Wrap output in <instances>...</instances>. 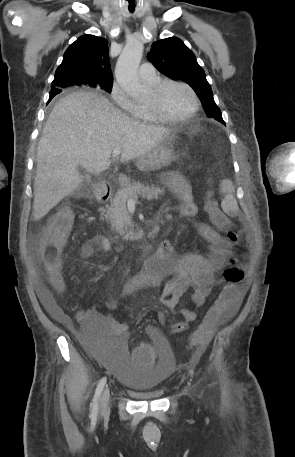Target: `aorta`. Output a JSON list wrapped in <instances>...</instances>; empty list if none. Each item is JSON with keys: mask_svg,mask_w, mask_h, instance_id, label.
<instances>
[{"mask_svg": "<svg viewBox=\"0 0 295 457\" xmlns=\"http://www.w3.org/2000/svg\"><path fill=\"white\" fill-rule=\"evenodd\" d=\"M143 50L144 46L140 41H128L115 67V77L118 84L133 98H140L145 94V88L141 84L137 74Z\"/></svg>", "mask_w": 295, "mask_h": 457, "instance_id": "aorta-1", "label": "aorta"}]
</instances>
